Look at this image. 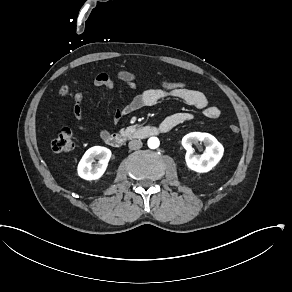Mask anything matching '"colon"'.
<instances>
[{
    "instance_id": "obj_1",
    "label": "colon",
    "mask_w": 292,
    "mask_h": 292,
    "mask_svg": "<svg viewBox=\"0 0 292 292\" xmlns=\"http://www.w3.org/2000/svg\"><path fill=\"white\" fill-rule=\"evenodd\" d=\"M177 81V80H173ZM77 88V84L75 83H70L66 86H64L61 90V97L66 99L69 98L72 92ZM229 130L233 134H237L239 132V128L235 124H230L229 125ZM73 140L74 136L73 133L70 130H63L57 133L51 143V148L54 152L56 153H65L69 152L73 148Z\"/></svg>"
}]
</instances>
